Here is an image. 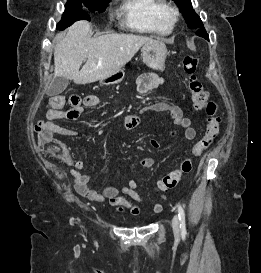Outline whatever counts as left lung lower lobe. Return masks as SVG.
Listing matches in <instances>:
<instances>
[{"label": "left lung lower lobe", "instance_id": "0a47b994", "mask_svg": "<svg viewBox=\"0 0 261 273\" xmlns=\"http://www.w3.org/2000/svg\"><path fill=\"white\" fill-rule=\"evenodd\" d=\"M197 34L201 37H204L207 40L209 39L208 34L206 33V31L203 27L198 29Z\"/></svg>", "mask_w": 261, "mask_h": 273}]
</instances>
